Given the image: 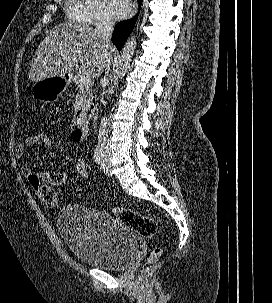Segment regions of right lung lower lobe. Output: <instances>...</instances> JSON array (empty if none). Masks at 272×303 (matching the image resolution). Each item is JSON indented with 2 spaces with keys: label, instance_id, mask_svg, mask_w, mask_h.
<instances>
[{
  "label": "right lung lower lobe",
  "instance_id": "obj_1",
  "mask_svg": "<svg viewBox=\"0 0 272 303\" xmlns=\"http://www.w3.org/2000/svg\"><path fill=\"white\" fill-rule=\"evenodd\" d=\"M139 3H141V0H139ZM136 20H137V16H135L133 19L120 22L115 26L112 35V42L118 48L119 51L122 49L125 41L130 35Z\"/></svg>",
  "mask_w": 272,
  "mask_h": 303
}]
</instances>
